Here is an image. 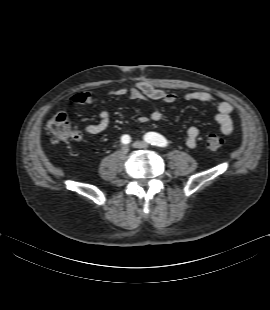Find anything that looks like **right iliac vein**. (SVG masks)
Wrapping results in <instances>:
<instances>
[{"label": "right iliac vein", "instance_id": "right-iliac-vein-1", "mask_svg": "<svg viewBox=\"0 0 270 310\" xmlns=\"http://www.w3.org/2000/svg\"><path fill=\"white\" fill-rule=\"evenodd\" d=\"M128 151H129V147H128L127 145H123V146L121 147V152H122V153L126 154Z\"/></svg>", "mask_w": 270, "mask_h": 310}]
</instances>
